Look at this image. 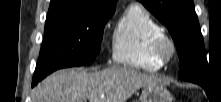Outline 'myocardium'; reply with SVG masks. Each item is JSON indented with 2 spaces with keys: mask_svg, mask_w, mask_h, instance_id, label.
Masks as SVG:
<instances>
[{
  "mask_svg": "<svg viewBox=\"0 0 221 102\" xmlns=\"http://www.w3.org/2000/svg\"><path fill=\"white\" fill-rule=\"evenodd\" d=\"M175 52V43L164 32L151 41L150 53L162 64L168 63L174 57Z\"/></svg>",
  "mask_w": 221,
  "mask_h": 102,
  "instance_id": "myocardium-1",
  "label": "myocardium"
}]
</instances>
